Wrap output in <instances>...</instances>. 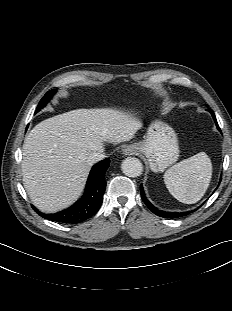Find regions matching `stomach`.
<instances>
[{"mask_svg": "<svg viewBox=\"0 0 232 311\" xmlns=\"http://www.w3.org/2000/svg\"><path fill=\"white\" fill-rule=\"evenodd\" d=\"M132 146L146 156L153 172H163L178 160L180 152L177 134L160 120L149 126L143 141Z\"/></svg>", "mask_w": 232, "mask_h": 311, "instance_id": "1", "label": "stomach"}]
</instances>
